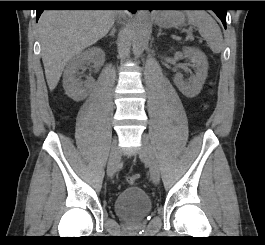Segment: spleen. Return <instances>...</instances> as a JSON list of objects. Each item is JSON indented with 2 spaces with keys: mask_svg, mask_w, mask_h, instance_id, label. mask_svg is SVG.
<instances>
[{
  "mask_svg": "<svg viewBox=\"0 0 265 245\" xmlns=\"http://www.w3.org/2000/svg\"><path fill=\"white\" fill-rule=\"evenodd\" d=\"M188 21L197 27L200 35L207 41L214 53H220L224 49L221 30L215 20L205 11H186Z\"/></svg>",
  "mask_w": 265,
  "mask_h": 245,
  "instance_id": "obj_1",
  "label": "spleen"
}]
</instances>
